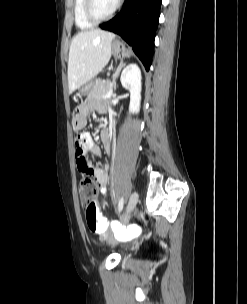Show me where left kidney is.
<instances>
[{
  "mask_svg": "<svg viewBox=\"0 0 247 304\" xmlns=\"http://www.w3.org/2000/svg\"><path fill=\"white\" fill-rule=\"evenodd\" d=\"M121 84L130 92L129 111L132 113L139 112L141 101V71L136 63L127 65L120 77Z\"/></svg>",
  "mask_w": 247,
  "mask_h": 304,
  "instance_id": "obj_1",
  "label": "left kidney"
}]
</instances>
